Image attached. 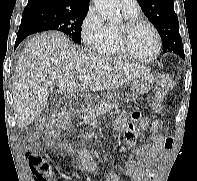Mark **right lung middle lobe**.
<instances>
[{
	"label": "right lung middle lobe",
	"instance_id": "obj_1",
	"mask_svg": "<svg viewBox=\"0 0 197 181\" xmlns=\"http://www.w3.org/2000/svg\"><path fill=\"white\" fill-rule=\"evenodd\" d=\"M88 10L33 8L24 10L21 23L40 31L58 30L69 35L75 43H81V26Z\"/></svg>",
	"mask_w": 197,
	"mask_h": 181
}]
</instances>
